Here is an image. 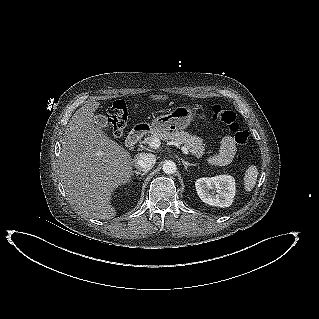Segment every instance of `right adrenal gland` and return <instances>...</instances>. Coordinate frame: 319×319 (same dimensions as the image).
<instances>
[{"label":"right adrenal gland","instance_id":"2a0ac1e0","mask_svg":"<svg viewBox=\"0 0 319 319\" xmlns=\"http://www.w3.org/2000/svg\"><path fill=\"white\" fill-rule=\"evenodd\" d=\"M140 175L141 177H144L147 173L146 172H141V171H133V175Z\"/></svg>","mask_w":319,"mask_h":319}]
</instances>
